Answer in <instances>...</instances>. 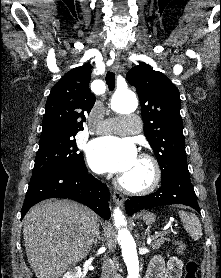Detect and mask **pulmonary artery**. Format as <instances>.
Returning a JSON list of instances; mask_svg holds the SVG:
<instances>
[{
	"label": "pulmonary artery",
	"instance_id": "e3ab8cb5",
	"mask_svg": "<svg viewBox=\"0 0 221 278\" xmlns=\"http://www.w3.org/2000/svg\"><path fill=\"white\" fill-rule=\"evenodd\" d=\"M140 132V121L134 116L108 119L97 128V133L135 134Z\"/></svg>",
	"mask_w": 221,
	"mask_h": 278
}]
</instances>
